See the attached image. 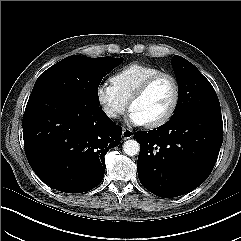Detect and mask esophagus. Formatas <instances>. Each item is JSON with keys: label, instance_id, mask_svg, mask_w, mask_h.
I'll return each instance as SVG.
<instances>
[{"label": "esophagus", "instance_id": "1", "mask_svg": "<svg viewBox=\"0 0 241 241\" xmlns=\"http://www.w3.org/2000/svg\"><path fill=\"white\" fill-rule=\"evenodd\" d=\"M132 137H133V132L130 129L123 128L122 138L124 140H126V139H130Z\"/></svg>", "mask_w": 241, "mask_h": 241}]
</instances>
